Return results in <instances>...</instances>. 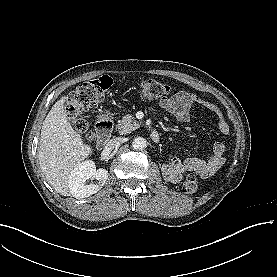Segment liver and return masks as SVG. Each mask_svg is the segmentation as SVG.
I'll list each match as a JSON object with an SVG mask.
<instances>
[{"instance_id":"1","label":"liver","mask_w":277,"mask_h":277,"mask_svg":"<svg viewBox=\"0 0 277 277\" xmlns=\"http://www.w3.org/2000/svg\"><path fill=\"white\" fill-rule=\"evenodd\" d=\"M62 96L47 114L41 128L38 159L47 181L63 196L81 198L73 187L70 175L74 168L92 154V147L84 144L68 121Z\"/></svg>"}]
</instances>
